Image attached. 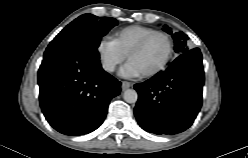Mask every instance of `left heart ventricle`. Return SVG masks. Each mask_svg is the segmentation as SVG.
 <instances>
[{"label":"left heart ventricle","instance_id":"obj_1","mask_svg":"<svg viewBox=\"0 0 248 158\" xmlns=\"http://www.w3.org/2000/svg\"><path fill=\"white\" fill-rule=\"evenodd\" d=\"M168 45L164 37L154 36L145 47L134 54L133 61L142 73L155 69L162 63L167 53Z\"/></svg>","mask_w":248,"mask_h":158}]
</instances>
